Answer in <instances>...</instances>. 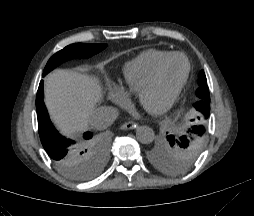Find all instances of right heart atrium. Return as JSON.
<instances>
[{"label": "right heart atrium", "mask_w": 254, "mask_h": 216, "mask_svg": "<svg viewBox=\"0 0 254 216\" xmlns=\"http://www.w3.org/2000/svg\"><path fill=\"white\" fill-rule=\"evenodd\" d=\"M108 98L115 104L126 107L130 103V96L118 88H112Z\"/></svg>", "instance_id": "1"}]
</instances>
